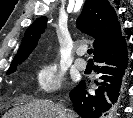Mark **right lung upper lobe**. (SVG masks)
<instances>
[{
  "mask_svg": "<svg viewBox=\"0 0 133 118\" xmlns=\"http://www.w3.org/2000/svg\"><path fill=\"white\" fill-rule=\"evenodd\" d=\"M47 18L36 19L26 30L22 43L10 67L24 61L36 47L40 34L46 27ZM77 27L82 32L95 38L94 55L115 44L123 36L114 9L107 0H86Z\"/></svg>",
  "mask_w": 133,
  "mask_h": 118,
  "instance_id": "1",
  "label": "right lung upper lobe"
}]
</instances>
